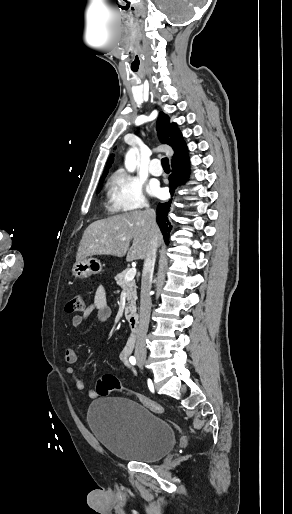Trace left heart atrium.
I'll return each mask as SVG.
<instances>
[{
	"label": "left heart atrium",
	"mask_w": 292,
	"mask_h": 514,
	"mask_svg": "<svg viewBox=\"0 0 292 514\" xmlns=\"http://www.w3.org/2000/svg\"><path fill=\"white\" fill-rule=\"evenodd\" d=\"M150 193L153 194V195H159V190L157 188H151L150 189Z\"/></svg>",
	"instance_id": "left-heart-atrium-1"
}]
</instances>
